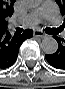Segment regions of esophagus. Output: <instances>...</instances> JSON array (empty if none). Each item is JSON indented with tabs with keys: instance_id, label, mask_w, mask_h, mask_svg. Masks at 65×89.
<instances>
[{
	"instance_id": "obj_1",
	"label": "esophagus",
	"mask_w": 65,
	"mask_h": 89,
	"mask_svg": "<svg viewBox=\"0 0 65 89\" xmlns=\"http://www.w3.org/2000/svg\"><path fill=\"white\" fill-rule=\"evenodd\" d=\"M34 36L36 37H40V38H46L47 37V34L40 31V30H35L34 31Z\"/></svg>"
}]
</instances>
